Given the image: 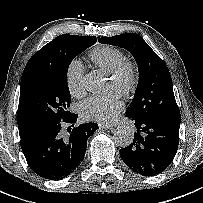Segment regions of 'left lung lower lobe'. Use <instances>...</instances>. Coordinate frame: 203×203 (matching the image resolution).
Here are the masks:
<instances>
[{
	"label": "left lung lower lobe",
	"instance_id": "1",
	"mask_svg": "<svg viewBox=\"0 0 203 203\" xmlns=\"http://www.w3.org/2000/svg\"><path fill=\"white\" fill-rule=\"evenodd\" d=\"M129 118L135 128L134 139L120 150L121 159L140 175L162 173L176 155L181 118Z\"/></svg>",
	"mask_w": 203,
	"mask_h": 203
}]
</instances>
